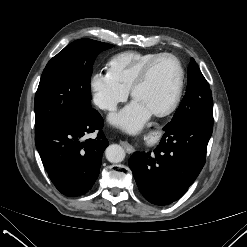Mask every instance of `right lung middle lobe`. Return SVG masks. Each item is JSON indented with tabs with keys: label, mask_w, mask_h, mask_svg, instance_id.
<instances>
[{
	"label": "right lung middle lobe",
	"mask_w": 247,
	"mask_h": 247,
	"mask_svg": "<svg viewBox=\"0 0 247 247\" xmlns=\"http://www.w3.org/2000/svg\"><path fill=\"white\" fill-rule=\"evenodd\" d=\"M112 47L91 39H79L48 62L35 95V135L92 110V65L100 52Z\"/></svg>",
	"instance_id": "1"
}]
</instances>
